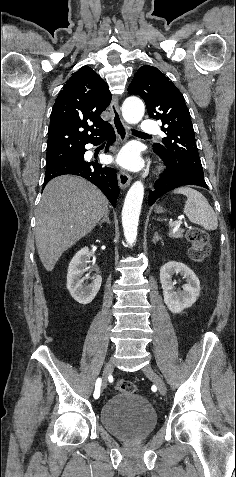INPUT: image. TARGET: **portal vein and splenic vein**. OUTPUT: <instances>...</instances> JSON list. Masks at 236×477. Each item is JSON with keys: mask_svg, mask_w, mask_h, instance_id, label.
<instances>
[{"mask_svg": "<svg viewBox=\"0 0 236 477\" xmlns=\"http://www.w3.org/2000/svg\"><path fill=\"white\" fill-rule=\"evenodd\" d=\"M182 224L181 220L174 221L170 224V228H173L174 231H176Z\"/></svg>", "mask_w": 236, "mask_h": 477, "instance_id": "obj_1", "label": "portal vein and splenic vein"}]
</instances>
